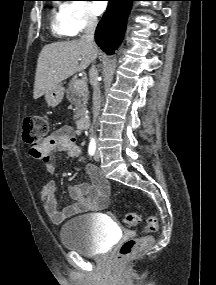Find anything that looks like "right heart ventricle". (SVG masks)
<instances>
[{
    "label": "right heart ventricle",
    "instance_id": "right-heart-ventricle-1",
    "mask_svg": "<svg viewBox=\"0 0 216 285\" xmlns=\"http://www.w3.org/2000/svg\"><path fill=\"white\" fill-rule=\"evenodd\" d=\"M52 30L57 36H60V37L70 36V33L68 32V30L66 29V26L64 24L61 9L53 12Z\"/></svg>",
    "mask_w": 216,
    "mask_h": 285
}]
</instances>
